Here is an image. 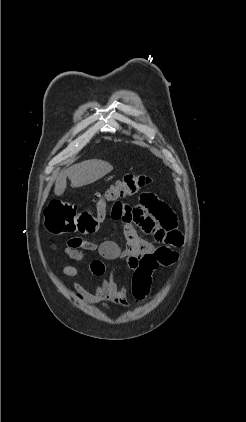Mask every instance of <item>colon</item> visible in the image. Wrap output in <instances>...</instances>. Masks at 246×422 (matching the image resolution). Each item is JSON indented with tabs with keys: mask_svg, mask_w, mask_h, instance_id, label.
I'll list each match as a JSON object with an SVG mask.
<instances>
[{
	"mask_svg": "<svg viewBox=\"0 0 246 422\" xmlns=\"http://www.w3.org/2000/svg\"><path fill=\"white\" fill-rule=\"evenodd\" d=\"M152 179L144 173L126 174L111 184L104 192L95 196L94 206L79 210L77 205L61 200L52 201L44 213L47 231L59 233H92L105 219L108 204L120 205V200L133 196L150 185ZM178 253L172 249L161 248L153 253L144 254L134 264L132 276V295L137 301L147 298L152 273L159 267H166L177 261Z\"/></svg>",
	"mask_w": 246,
	"mask_h": 422,
	"instance_id": "5ec220e1",
	"label": "colon"
}]
</instances>
